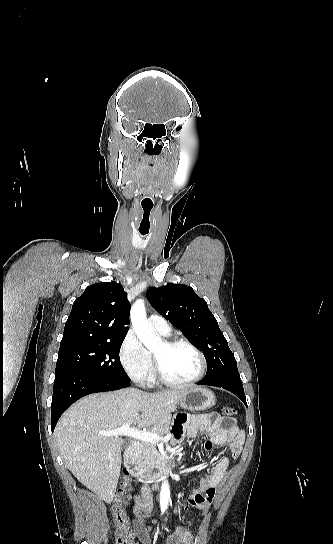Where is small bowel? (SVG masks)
<instances>
[{
    "instance_id": "obj_1",
    "label": "small bowel",
    "mask_w": 333,
    "mask_h": 544,
    "mask_svg": "<svg viewBox=\"0 0 333 544\" xmlns=\"http://www.w3.org/2000/svg\"><path fill=\"white\" fill-rule=\"evenodd\" d=\"M225 420L217 414L191 415L178 418L174 425V440L180 442L185 436L195 437L199 433L209 435L204 449L210 451L214 446L228 445L229 457H223L217 461L206 476L200 477L198 487L192 490L191 496L184 504V510L188 507H196L206 513L209 503L216 493V489L227 475L230 460L236 459L242 450L244 435L235 426L233 420ZM135 519L133 528L135 534L144 544L150 543V536L145 528L142 518V504L138 498L134 506ZM198 539L183 527H177L174 533L168 536L165 544H197Z\"/></svg>"
}]
</instances>
